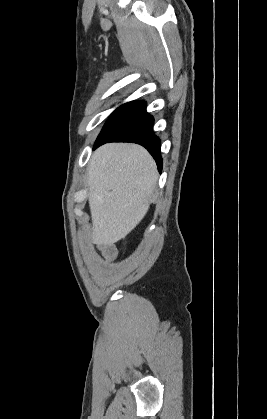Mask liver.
<instances>
[{"instance_id":"liver-1","label":"liver","mask_w":267,"mask_h":419,"mask_svg":"<svg viewBox=\"0 0 267 419\" xmlns=\"http://www.w3.org/2000/svg\"><path fill=\"white\" fill-rule=\"evenodd\" d=\"M157 179L156 163L142 146L109 143L98 148L87 173L93 242L113 244L125 238L146 215Z\"/></svg>"}]
</instances>
